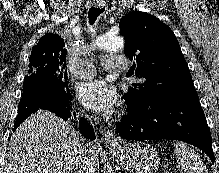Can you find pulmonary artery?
I'll use <instances>...</instances> for the list:
<instances>
[{
    "label": "pulmonary artery",
    "mask_w": 219,
    "mask_h": 173,
    "mask_svg": "<svg viewBox=\"0 0 219 173\" xmlns=\"http://www.w3.org/2000/svg\"><path fill=\"white\" fill-rule=\"evenodd\" d=\"M104 68L108 71H125L128 69L129 62L125 57L107 56L102 59ZM95 67L88 59L81 60L73 70V75L78 79H86L94 76Z\"/></svg>",
    "instance_id": "obj_1"
}]
</instances>
